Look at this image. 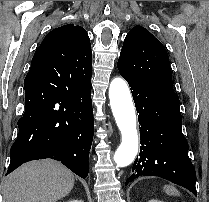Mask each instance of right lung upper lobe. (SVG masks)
I'll list each match as a JSON object with an SVG mask.
<instances>
[{
  "instance_id": "cb5924a9",
  "label": "right lung upper lobe",
  "mask_w": 209,
  "mask_h": 202,
  "mask_svg": "<svg viewBox=\"0 0 209 202\" xmlns=\"http://www.w3.org/2000/svg\"><path fill=\"white\" fill-rule=\"evenodd\" d=\"M31 67L46 71L61 84H90L92 52L86 30L68 24L49 32L37 48Z\"/></svg>"
}]
</instances>
